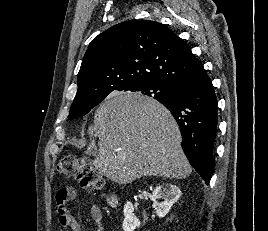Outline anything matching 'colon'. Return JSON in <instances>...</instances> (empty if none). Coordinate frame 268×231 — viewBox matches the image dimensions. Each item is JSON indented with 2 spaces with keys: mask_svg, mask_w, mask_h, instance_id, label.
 I'll use <instances>...</instances> for the list:
<instances>
[{
  "mask_svg": "<svg viewBox=\"0 0 268 231\" xmlns=\"http://www.w3.org/2000/svg\"><path fill=\"white\" fill-rule=\"evenodd\" d=\"M56 171L62 176L75 177L89 191L99 190L103 186L98 171L91 163L73 154L63 156L56 165ZM66 194L63 192L62 196Z\"/></svg>",
  "mask_w": 268,
  "mask_h": 231,
  "instance_id": "1",
  "label": "colon"
}]
</instances>
